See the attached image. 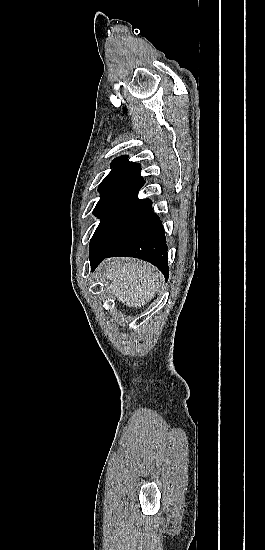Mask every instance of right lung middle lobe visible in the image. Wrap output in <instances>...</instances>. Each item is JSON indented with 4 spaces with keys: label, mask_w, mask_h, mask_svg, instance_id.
Wrapping results in <instances>:
<instances>
[{
    "label": "right lung middle lobe",
    "mask_w": 265,
    "mask_h": 550,
    "mask_svg": "<svg viewBox=\"0 0 265 550\" xmlns=\"http://www.w3.org/2000/svg\"><path fill=\"white\" fill-rule=\"evenodd\" d=\"M139 189H125L101 195L93 214L101 219L91 241L90 253H102L115 246L152 206L137 198Z\"/></svg>",
    "instance_id": "1"
}]
</instances>
